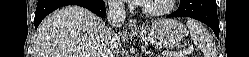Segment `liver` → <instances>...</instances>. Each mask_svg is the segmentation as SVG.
<instances>
[{"label": "liver", "instance_id": "obj_1", "mask_svg": "<svg viewBox=\"0 0 249 57\" xmlns=\"http://www.w3.org/2000/svg\"><path fill=\"white\" fill-rule=\"evenodd\" d=\"M104 21L80 6L54 11L38 27L34 57H115L104 45ZM118 36V35H117ZM120 36L117 42L119 44Z\"/></svg>", "mask_w": 249, "mask_h": 57}]
</instances>
